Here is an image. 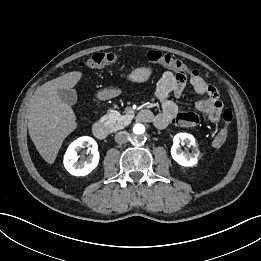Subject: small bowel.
<instances>
[{
	"label": "small bowel",
	"mask_w": 261,
	"mask_h": 261,
	"mask_svg": "<svg viewBox=\"0 0 261 261\" xmlns=\"http://www.w3.org/2000/svg\"><path fill=\"white\" fill-rule=\"evenodd\" d=\"M189 83L197 94L204 97L195 104L197 112H181L176 103L170 99L171 95L179 98L183 94L187 84L186 75L170 71L163 73L156 88V96L161 102L162 111L153 116L152 120L158 129H164L169 124L192 127L202 120L211 123L220 120L223 105L217 89L198 74L191 76Z\"/></svg>",
	"instance_id": "small-bowel-1"
}]
</instances>
